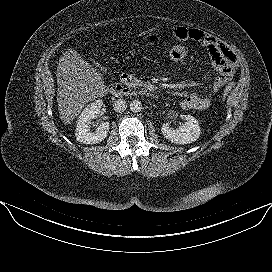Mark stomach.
Segmentation results:
<instances>
[{
  "label": "stomach",
  "instance_id": "0dacf381",
  "mask_svg": "<svg viewBox=\"0 0 272 272\" xmlns=\"http://www.w3.org/2000/svg\"><path fill=\"white\" fill-rule=\"evenodd\" d=\"M149 32H152V30H149ZM149 32H147V33H149ZM149 35L151 36V33H149Z\"/></svg>",
  "mask_w": 272,
  "mask_h": 272
}]
</instances>
